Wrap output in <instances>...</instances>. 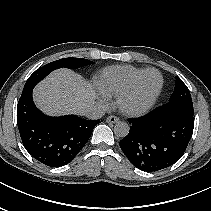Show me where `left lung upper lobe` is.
Segmentation results:
<instances>
[{"mask_svg":"<svg viewBox=\"0 0 211 211\" xmlns=\"http://www.w3.org/2000/svg\"><path fill=\"white\" fill-rule=\"evenodd\" d=\"M160 110H180L189 114L194 113L189 89L179 77L176 76V86L170 97L169 103L161 106Z\"/></svg>","mask_w":211,"mask_h":211,"instance_id":"1","label":"left lung upper lobe"}]
</instances>
